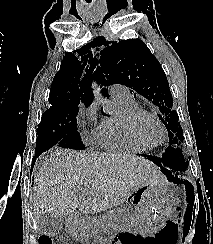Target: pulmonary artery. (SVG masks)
I'll use <instances>...</instances> for the list:
<instances>
[{
    "label": "pulmonary artery",
    "mask_w": 213,
    "mask_h": 244,
    "mask_svg": "<svg viewBox=\"0 0 213 244\" xmlns=\"http://www.w3.org/2000/svg\"><path fill=\"white\" fill-rule=\"evenodd\" d=\"M109 93H110V96L112 97V99L113 98L129 99V98L133 97L130 90L126 86H123L120 84L111 85L109 88Z\"/></svg>",
    "instance_id": "e3ab8cb5"
}]
</instances>
